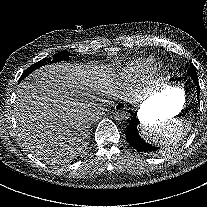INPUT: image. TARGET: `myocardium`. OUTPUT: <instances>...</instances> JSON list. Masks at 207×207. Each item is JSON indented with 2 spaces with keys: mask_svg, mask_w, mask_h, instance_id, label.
<instances>
[{
  "mask_svg": "<svg viewBox=\"0 0 207 207\" xmlns=\"http://www.w3.org/2000/svg\"><path fill=\"white\" fill-rule=\"evenodd\" d=\"M165 75V72L162 73V76Z\"/></svg>",
  "mask_w": 207,
  "mask_h": 207,
  "instance_id": "obj_1",
  "label": "myocardium"
}]
</instances>
